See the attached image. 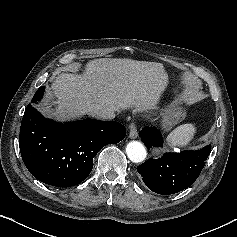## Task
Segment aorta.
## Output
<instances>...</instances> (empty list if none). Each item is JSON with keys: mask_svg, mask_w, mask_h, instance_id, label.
<instances>
[{"mask_svg": "<svg viewBox=\"0 0 237 237\" xmlns=\"http://www.w3.org/2000/svg\"><path fill=\"white\" fill-rule=\"evenodd\" d=\"M128 158L134 163L143 162L147 156L144 145L138 141H131L126 146Z\"/></svg>", "mask_w": 237, "mask_h": 237, "instance_id": "762f6f07", "label": "aorta"}]
</instances>
